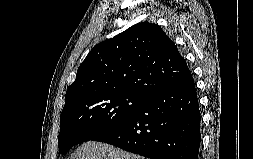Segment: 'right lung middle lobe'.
I'll use <instances>...</instances> for the list:
<instances>
[{
    "label": "right lung middle lobe",
    "instance_id": "obj_1",
    "mask_svg": "<svg viewBox=\"0 0 253 159\" xmlns=\"http://www.w3.org/2000/svg\"><path fill=\"white\" fill-rule=\"evenodd\" d=\"M133 92H99L71 100L60 116L59 152L116 127L145 101Z\"/></svg>",
    "mask_w": 253,
    "mask_h": 159
}]
</instances>
